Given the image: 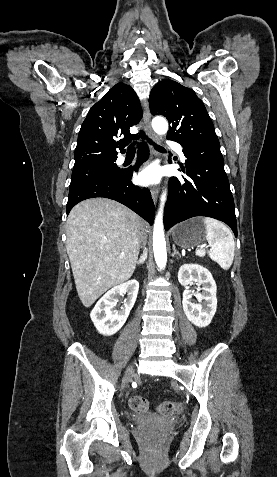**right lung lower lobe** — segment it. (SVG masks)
Here are the masks:
<instances>
[{
  "label": "right lung lower lobe",
  "instance_id": "1",
  "mask_svg": "<svg viewBox=\"0 0 277 477\" xmlns=\"http://www.w3.org/2000/svg\"><path fill=\"white\" fill-rule=\"evenodd\" d=\"M148 154L147 145L145 143L139 144L138 164L134 166V170H137L138 166L148 159ZM132 174L133 168L122 169L120 174L101 176L70 190L66 207L67 214L82 200L105 197L124 204L152 225L155 207L151 193L147 188L142 189L133 185L131 182Z\"/></svg>",
  "mask_w": 277,
  "mask_h": 477
}]
</instances>
